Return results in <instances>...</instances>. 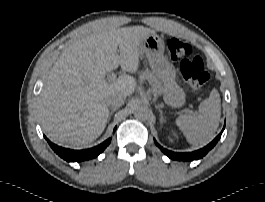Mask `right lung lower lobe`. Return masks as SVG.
I'll list each match as a JSON object with an SVG mask.
<instances>
[{
    "instance_id": "98d812e1",
    "label": "right lung lower lobe",
    "mask_w": 265,
    "mask_h": 202,
    "mask_svg": "<svg viewBox=\"0 0 265 202\" xmlns=\"http://www.w3.org/2000/svg\"><path fill=\"white\" fill-rule=\"evenodd\" d=\"M116 129V128H115ZM114 129V130H115ZM46 138V137H45ZM46 140L50 144L51 148L64 160L68 162H80L84 160H88L91 158L97 157L100 153L104 151V149L110 144L111 138L107 139L103 143L99 144L98 146H95L90 149H84V150H71L67 148H63L60 146H57L50 142L47 138Z\"/></svg>"
}]
</instances>
